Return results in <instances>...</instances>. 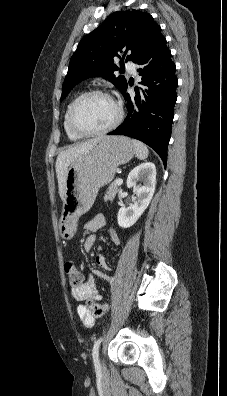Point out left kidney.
Returning a JSON list of instances; mask_svg holds the SVG:
<instances>
[{
    "instance_id": "obj_1",
    "label": "left kidney",
    "mask_w": 227,
    "mask_h": 396,
    "mask_svg": "<svg viewBox=\"0 0 227 396\" xmlns=\"http://www.w3.org/2000/svg\"><path fill=\"white\" fill-rule=\"evenodd\" d=\"M137 181H142L143 186L136 187ZM155 185L156 167L152 162L142 163L129 173L127 187L133 188L136 197L134 204L119 209L117 221L120 227L129 228L137 222L150 204L155 192Z\"/></svg>"
}]
</instances>
